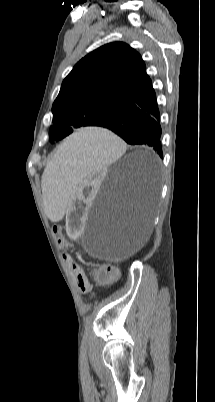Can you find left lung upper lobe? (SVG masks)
I'll list each match as a JSON object with an SVG mask.
<instances>
[{
    "label": "left lung upper lobe",
    "mask_w": 215,
    "mask_h": 402,
    "mask_svg": "<svg viewBox=\"0 0 215 402\" xmlns=\"http://www.w3.org/2000/svg\"><path fill=\"white\" fill-rule=\"evenodd\" d=\"M149 76L140 54L126 43H109L82 58L63 80L53 103L50 142L73 128L96 126L132 98Z\"/></svg>",
    "instance_id": "1"
}]
</instances>
